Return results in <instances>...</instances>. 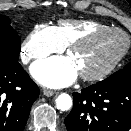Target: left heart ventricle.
Wrapping results in <instances>:
<instances>
[{
	"label": "left heart ventricle",
	"mask_w": 131,
	"mask_h": 131,
	"mask_svg": "<svg viewBox=\"0 0 131 131\" xmlns=\"http://www.w3.org/2000/svg\"><path fill=\"white\" fill-rule=\"evenodd\" d=\"M124 46V36L118 33H108L72 51L71 57L79 73H91L108 64Z\"/></svg>",
	"instance_id": "1"
}]
</instances>
